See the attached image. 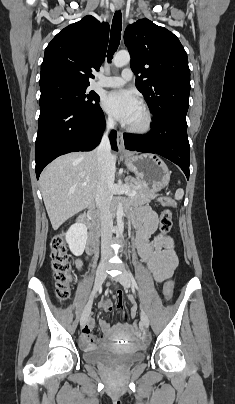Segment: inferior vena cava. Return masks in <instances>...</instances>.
<instances>
[{
    "mask_svg": "<svg viewBox=\"0 0 235 404\" xmlns=\"http://www.w3.org/2000/svg\"><path fill=\"white\" fill-rule=\"evenodd\" d=\"M115 125L112 118L107 120V129L102 137L101 143L96 150L98 160V182L95 194V202L99 209L101 220V254L110 253L109 244L112 240L113 219L110 205L113 197V185L115 177V160L111 153V146L108 139V132Z\"/></svg>",
    "mask_w": 235,
    "mask_h": 404,
    "instance_id": "obj_1",
    "label": "inferior vena cava"
}]
</instances>
